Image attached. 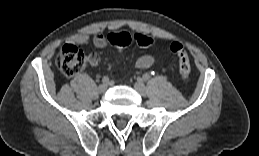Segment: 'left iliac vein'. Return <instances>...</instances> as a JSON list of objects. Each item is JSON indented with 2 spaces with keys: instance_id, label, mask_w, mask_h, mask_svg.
<instances>
[{
  "instance_id": "4c4485c4",
  "label": "left iliac vein",
  "mask_w": 259,
  "mask_h": 156,
  "mask_svg": "<svg viewBox=\"0 0 259 156\" xmlns=\"http://www.w3.org/2000/svg\"><path fill=\"white\" fill-rule=\"evenodd\" d=\"M134 88L140 95L144 96L146 94V87L141 81H137Z\"/></svg>"
}]
</instances>
